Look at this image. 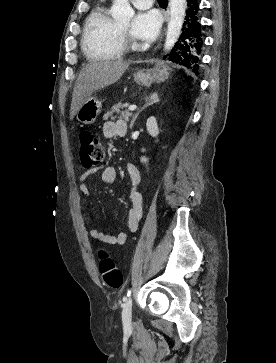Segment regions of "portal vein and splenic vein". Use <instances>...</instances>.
Instances as JSON below:
<instances>
[{"mask_svg":"<svg viewBox=\"0 0 276 363\" xmlns=\"http://www.w3.org/2000/svg\"><path fill=\"white\" fill-rule=\"evenodd\" d=\"M136 108H137V106H136V105H130V106L128 107V110H129V111H134Z\"/></svg>","mask_w":276,"mask_h":363,"instance_id":"18ae733b","label":"portal vein and splenic vein"}]
</instances>
